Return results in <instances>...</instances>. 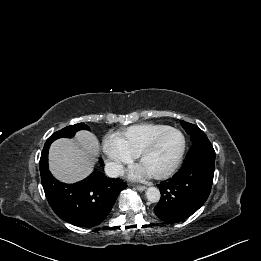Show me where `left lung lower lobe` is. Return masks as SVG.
Here are the masks:
<instances>
[{"mask_svg":"<svg viewBox=\"0 0 261 261\" xmlns=\"http://www.w3.org/2000/svg\"><path fill=\"white\" fill-rule=\"evenodd\" d=\"M214 169L215 151L205 136L194 142L180 171L157 185L161 192L154 208L157 217L176 223L196 212L210 194Z\"/></svg>","mask_w":261,"mask_h":261,"instance_id":"0a47b994","label":"left lung lower lobe"}]
</instances>
